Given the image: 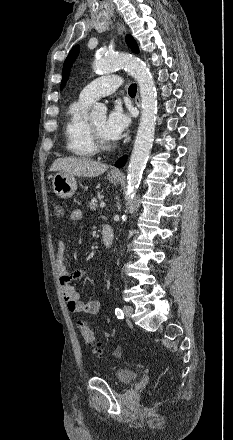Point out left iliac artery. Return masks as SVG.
<instances>
[{
  "mask_svg": "<svg viewBox=\"0 0 233 440\" xmlns=\"http://www.w3.org/2000/svg\"><path fill=\"white\" fill-rule=\"evenodd\" d=\"M115 315L117 316L118 319H123L124 317L123 311L120 308L115 309Z\"/></svg>",
  "mask_w": 233,
  "mask_h": 440,
  "instance_id": "obj_1",
  "label": "left iliac artery"
}]
</instances>
